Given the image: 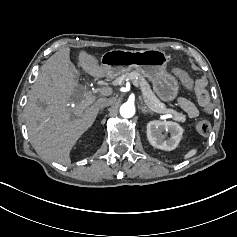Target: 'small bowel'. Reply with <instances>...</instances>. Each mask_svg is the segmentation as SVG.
<instances>
[{"instance_id": "obj_1", "label": "small bowel", "mask_w": 237, "mask_h": 237, "mask_svg": "<svg viewBox=\"0 0 237 237\" xmlns=\"http://www.w3.org/2000/svg\"><path fill=\"white\" fill-rule=\"evenodd\" d=\"M207 82L204 79L196 81L194 86V91L197 96L199 106L208 111V108L204 105V99L209 101V96L207 93ZM179 107L190 117L195 118L199 115L200 111L197 105L190 99L185 97H180L177 100Z\"/></svg>"}]
</instances>
